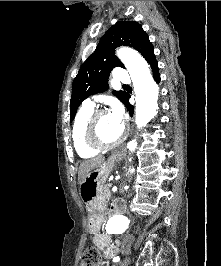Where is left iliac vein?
I'll list each match as a JSON object with an SVG mask.
<instances>
[{
    "label": "left iliac vein",
    "mask_w": 221,
    "mask_h": 266,
    "mask_svg": "<svg viewBox=\"0 0 221 266\" xmlns=\"http://www.w3.org/2000/svg\"><path fill=\"white\" fill-rule=\"evenodd\" d=\"M130 258L129 257H126L121 263L119 266H129L130 265Z\"/></svg>",
    "instance_id": "left-iliac-vein-1"
}]
</instances>
